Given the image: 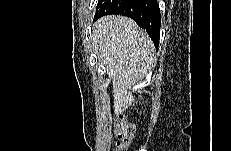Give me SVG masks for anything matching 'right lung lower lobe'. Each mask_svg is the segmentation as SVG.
I'll return each instance as SVG.
<instances>
[{
	"instance_id": "obj_1",
	"label": "right lung lower lobe",
	"mask_w": 231,
	"mask_h": 151,
	"mask_svg": "<svg viewBox=\"0 0 231 151\" xmlns=\"http://www.w3.org/2000/svg\"><path fill=\"white\" fill-rule=\"evenodd\" d=\"M109 14H120L132 18L147 31L155 47H158L161 14L156 0H99L94 21Z\"/></svg>"
}]
</instances>
